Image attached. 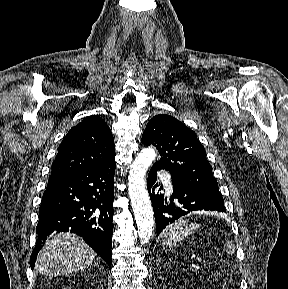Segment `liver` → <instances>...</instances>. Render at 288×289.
Instances as JSON below:
<instances>
[{
  "label": "liver",
  "mask_w": 288,
  "mask_h": 289,
  "mask_svg": "<svg viewBox=\"0 0 288 289\" xmlns=\"http://www.w3.org/2000/svg\"><path fill=\"white\" fill-rule=\"evenodd\" d=\"M96 253L77 235L53 233L40 250L36 269L46 276L65 275L88 268Z\"/></svg>",
  "instance_id": "6515ba94"
}]
</instances>
